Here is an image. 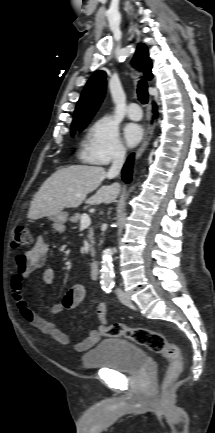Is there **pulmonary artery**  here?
Returning a JSON list of instances; mask_svg holds the SVG:
<instances>
[{"mask_svg": "<svg viewBox=\"0 0 215 433\" xmlns=\"http://www.w3.org/2000/svg\"><path fill=\"white\" fill-rule=\"evenodd\" d=\"M127 114L132 120H140L142 117V110L138 103H130L127 109Z\"/></svg>", "mask_w": 215, "mask_h": 433, "instance_id": "1", "label": "pulmonary artery"}]
</instances>
